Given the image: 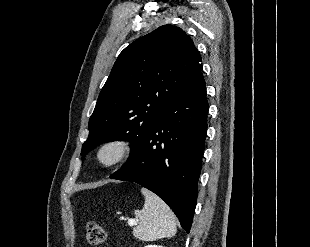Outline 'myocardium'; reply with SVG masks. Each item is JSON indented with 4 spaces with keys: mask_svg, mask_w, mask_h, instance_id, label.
<instances>
[{
    "mask_svg": "<svg viewBox=\"0 0 310 247\" xmlns=\"http://www.w3.org/2000/svg\"><path fill=\"white\" fill-rule=\"evenodd\" d=\"M107 151L114 153V156L106 160L104 154ZM132 142L124 137H116L104 142L98 149L96 158L97 161L104 167L111 168L125 162L132 154Z\"/></svg>",
    "mask_w": 310,
    "mask_h": 247,
    "instance_id": "obj_1",
    "label": "myocardium"
}]
</instances>
